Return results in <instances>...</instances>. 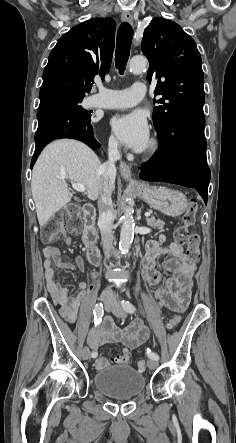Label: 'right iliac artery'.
<instances>
[{"label":"right iliac artery","instance_id":"obj_1","mask_svg":"<svg viewBox=\"0 0 236 443\" xmlns=\"http://www.w3.org/2000/svg\"><path fill=\"white\" fill-rule=\"evenodd\" d=\"M93 313H94V323H95V326H96V325L100 324V322L102 321L103 314H104L102 303H97L95 305ZM91 356L93 358H96L97 357V352H93L91 354Z\"/></svg>","mask_w":236,"mask_h":443}]
</instances>
